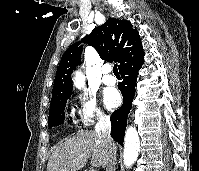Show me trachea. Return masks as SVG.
<instances>
[{
    "mask_svg": "<svg viewBox=\"0 0 199 171\" xmlns=\"http://www.w3.org/2000/svg\"><path fill=\"white\" fill-rule=\"evenodd\" d=\"M113 72H114V74H119L117 64L114 65Z\"/></svg>",
    "mask_w": 199,
    "mask_h": 171,
    "instance_id": "1",
    "label": "trachea"
}]
</instances>
